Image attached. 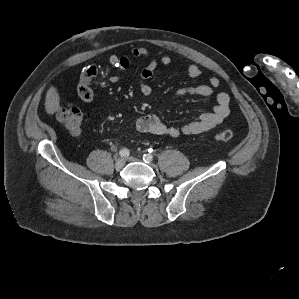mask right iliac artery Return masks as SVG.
Instances as JSON below:
<instances>
[{"instance_id":"right-iliac-artery-1","label":"right iliac artery","mask_w":299,"mask_h":299,"mask_svg":"<svg viewBox=\"0 0 299 299\" xmlns=\"http://www.w3.org/2000/svg\"><path fill=\"white\" fill-rule=\"evenodd\" d=\"M129 154H130V152H129V150L126 149V148L121 149L120 152H119V155H120L122 158H126V157H128Z\"/></svg>"}]
</instances>
